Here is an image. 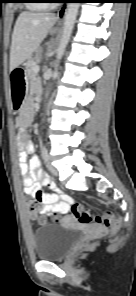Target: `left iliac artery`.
<instances>
[{
	"mask_svg": "<svg viewBox=\"0 0 136 296\" xmlns=\"http://www.w3.org/2000/svg\"><path fill=\"white\" fill-rule=\"evenodd\" d=\"M42 154H43V158L45 159V161H48L49 154H48V151L45 147H43Z\"/></svg>",
	"mask_w": 136,
	"mask_h": 296,
	"instance_id": "left-iliac-artery-1",
	"label": "left iliac artery"
}]
</instances>
